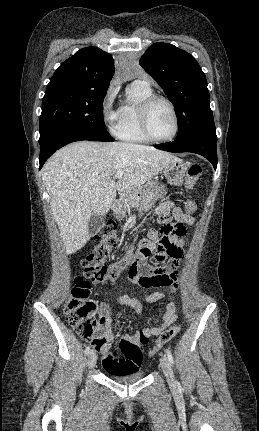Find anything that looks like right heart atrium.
<instances>
[{"label":"right heart atrium","mask_w":259,"mask_h":431,"mask_svg":"<svg viewBox=\"0 0 259 431\" xmlns=\"http://www.w3.org/2000/svg\"><path fill=\"white\" fill-rule=\"evenodd\" d=\"M117 93V86L111 85L108 88L101 105L103 121L112 131L115 130L120 117V110L115 108Z\"/></svg>","instance_id":"obj_1"}]
</instances>
